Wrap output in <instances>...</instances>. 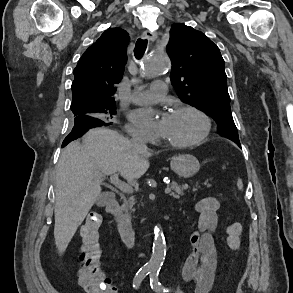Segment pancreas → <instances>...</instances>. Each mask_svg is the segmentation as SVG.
<instances>
[{
  "mask_svg": "<svg viewBox=\"0 0 293 293\" xmlns=\"http://www.w3.org/2000/svg\"><path fill=\"white\" fill-rule=\"evenodd\" d=\"M196 187H193V191H197ZM169 188L172 190V192L170 193V196L176 199H179L180 196L184 195L185 190H188L190 187L188 184L178 185L176 182H172ZM134 204H135V199L133 197H130L128 200H124L122 209L124 211V217L127 220H131V212H134V209H133Z\"/></svg>",
  "mask_w": 293,
  "mask_h": 293,
  "instance_id": "obj_1",
  "label": "pancreas"
}]
</instances>
